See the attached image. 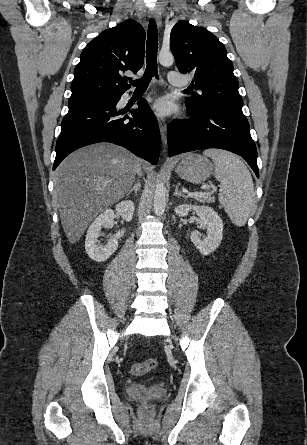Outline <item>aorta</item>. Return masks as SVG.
<instances>
[{"label":"aorta","instance_id":"obj_1","mask_svg":"<svg viewBox=\"0 0 307 445\" xmlns=\"http://www.w3.org/2000/svg\"><path fill=\"white\" fill-rule=\"evenodd\" d=\"M158 60L163 66H171L173 64L174 56L171 50H160ZM166 208V186L161 180H157L154 194V212L157 216L164 214Z\"/></svg>","mask_w":307,"mask_h":445}]
</instances>
